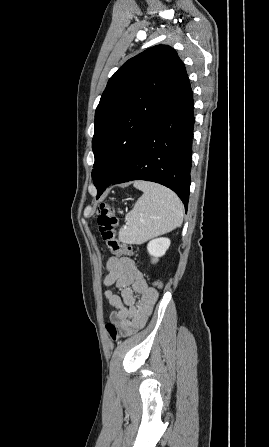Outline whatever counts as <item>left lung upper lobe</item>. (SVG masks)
<instances>
[{
  "mask_svg": "<svg viewBox=\"0 0 269 447\" xmlns=\"http://www.w3.org/2000/svg\"><path fill=\"white\" fill-rule=\"evenodd\" d=\"M183 69L173 48L158 45L128 60L109 79L95 112L92 178L97 189L125 169L163 115Z\"/></svg>",
  "mask_w": 269,
  "mask_h": 447,
  "instance_id": "1",
  "label": "left lung upper lobe"
}]
</instances>
